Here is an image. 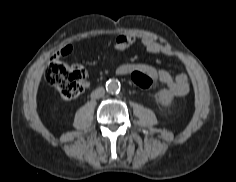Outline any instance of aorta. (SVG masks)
<instances>
[{
	"label": "aorta",
	"mask_w": 236,
	"mask_h": 182,
	"mask_svg": "<svg viewBox=\"0 0 236 182\" xmlns=\"http://www.w3.org/2000/svg\"><path fill=\"white\" fill-rule=\"evenodd\" d=\"M106 90L109 93H116L120 90V82L117 79H110L106 82Z\"/></svg>",
	"instance_id": "762f6f07"
}]
</instances>
